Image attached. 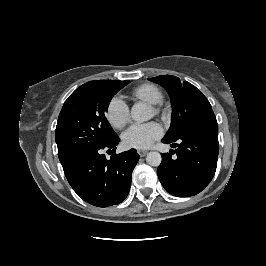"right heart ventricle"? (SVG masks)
Returning <instances> with one entry per match:
<instances>
[{
  "label": "right heart ventricle",
  "mask_w": 266,
  "mask_h": 266,
  "mask_svg": "<svg viewBox=\"0 0 266 266\" xmlns=\"http://www.w3.org/2000/svg\"><path fill=\"white\" fill-rule=\"evenodd\" d=\"M133 96L149 104L160 103L163 100V93L154 84L146 83L138 86L133 91Z\"/></svg>",
  "instance_id": "e07e8e85"
}]
</instances>
